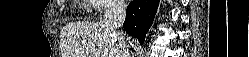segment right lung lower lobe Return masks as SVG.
Returning <instances> with one entry per match:
<instances>
[{
    "label": "right lung lower lobe",
    "instance_id": "1",
    "mask_svg": "<svg viewBox=\"0 0 249 57\" xmlns=\"http://www.w3.org/2000/svg\"><path fill=\"white\" fill-rule=\"evenodd\" d=\"M158 5L159 0H135L127 7L124 30L136 37L141 44L153 23Z\"/></svg>",
    "mask_w": 249,
    "mask_h": 57
}]
</instances>
